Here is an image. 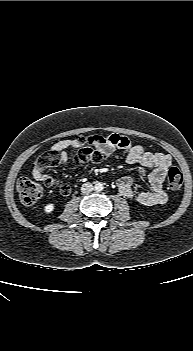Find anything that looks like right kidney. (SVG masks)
I'll return each mask as SVG.
<instances>
[{
  "label": "right kidney",
  "instance_id": "ca27d5eb",
  "mask_svg": "<svg viewBox=\"0 0 193 351\" xmlns=\"http://www.w3.org/2000/svg\"><path fill=\"white\" fill-rule=\"evenodd\" d=\"M54 210V204H47L44 207V211L45 213H51Z\"/></svg>",
  "mask_w": 193,
  "mask_h": 351
}]
</instances>
